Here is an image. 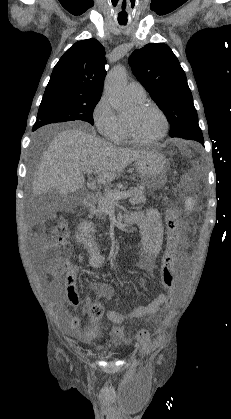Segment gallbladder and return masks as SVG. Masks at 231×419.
<instances>
[{"label": "gallbladder", "instance_id": "bac80fb5", "mask_svg": "<svg viewBox=\"0 0 231 419\" xmlns=\"http://www.w3.org/2000/svg\"><path fill=\"white\" fill-rule=\"evenodd\" d=\"M41 195V201L38 202V206L45 208L48 214L54 213L55 209L60 206L64 200V196L55 190H50Z\"/></svg>", "mask_w": 231, "mask_h": 419}]
</instances>
